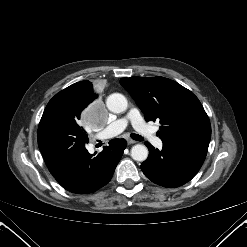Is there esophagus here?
Here are the masks:
<instances>
[{"mask_svg": "<svg viewBox=\"0 0 247 247\" xmlns=\"http://www.w3.org/2000/svg\"><path fill=\"white\" fill-rule=\"evenodd\" d=\"M127 143H128V145H131V144L136 143V141H134V140L128 138V139H127Z\"/></svg>", "mask_w": 247, "mask_h": 247, "instance_id": "34e87169", "label": "esophagus"}]
</instances>
